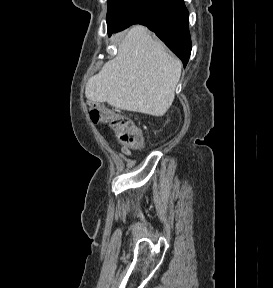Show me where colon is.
I'll list each match as a JSON object with an SVG mask.
<instances>
[{
  "mask_svg": "<svg viewBox=\"0 0 273 288\" xmlns=\"http://www.w3.org/2000/svg\"><path fill=\"white\" fill-rule=\"evenodd\" d=\"M89 114L94 123H106L112 128L120 146L127 149H139L143 146V134L129 117L101 104L91 105Z\"/></svg>",
  "mask_w": 273,
  "mask_h": 288,
  "instance_id": "colon-1",
  "label": "colon"
}]
</instances>
